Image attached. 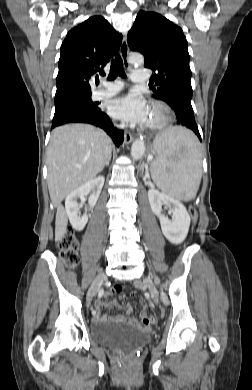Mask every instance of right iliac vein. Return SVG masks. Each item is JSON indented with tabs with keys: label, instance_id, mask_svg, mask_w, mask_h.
Listing matches in <instances>:
<instances>
[{
	"label": "right iliac vein",
	"instance_id": "right-iliac-vein-1",
	"mask_svg": "<svg viewBox=\"0 0 252 390\" xmlns=\"http://www.w3.org/2000/svg\"><path fill=\"white\" fill-rule=\"evenodd\" d=\"M106 279V274L101 272L94 279L87 293V302L90 303L93 297L97 294L103 281Z\"/></svg>",
	"mask_w": 252,
	"mask_h": 390
}]
</instances>
